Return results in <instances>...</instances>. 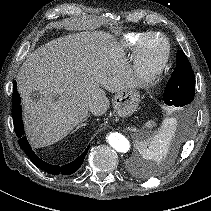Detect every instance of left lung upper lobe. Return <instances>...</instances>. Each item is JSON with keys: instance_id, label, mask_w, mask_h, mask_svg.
<instances>
[{"instance_id": "obj_1", "label": "left lung upper lobe", "mask_w": 211, "mask_h": 211, "mask_svg": "<svg viewBox=\"0 0 211 211\" xmlns=\"http://www.w3.org/2000/svg\"><path fill=\"white\" fill-rule=\"evenodd\" d=\"M195 96V77L191 64L182 50L177 51L176 67L172 72L163 100L169 106L190 109Z\"/></svg>"}]
</instances>
